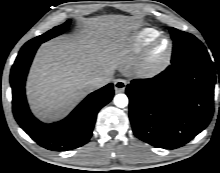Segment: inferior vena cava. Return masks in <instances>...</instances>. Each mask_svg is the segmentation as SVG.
<instances>
[{
  "label": "inferior vena cava",
  "instance_id": "602c4592",
  "mask_svg": "<svg viewBox=\"0 0 220 173\" xmlns=\"http://www.w3.org/2000/svg\"><path fill=\"white\" fill-rule=\"evenodd\" d=\"M112 80H113L112 74L108 73L107 75L104 76L95 77L94 79L91 80L90 83L93 89H98L107 85Z\"/></svg>",
  "mask_w": 220,
  "mask_h": 173
}]
</instances>
